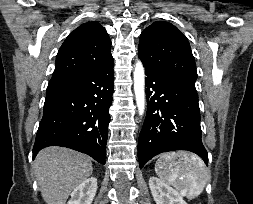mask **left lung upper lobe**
Returning <instances> with one entry per match:
<instances>
[{
  "mask_svg": "<svg viewBox=\"0 0 253 204\" xmlns=\"http://www.w3.org/2000/svg\"><path fill=\"white\" fill-rule=\"evenodd\" d=\"M138 49L145 67L195 85L197 72L190 44L171 23H152L141 33Z\"/></svg>",
  "mask_w": 253,
  "mask_h": 204,
  "instance_id": "1",
  "label": "left lung upper lobe"
}]
</instances>
